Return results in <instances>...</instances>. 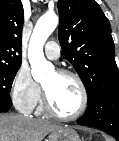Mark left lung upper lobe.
I'll list each match as a JSON object with an SVG mask.
<instances>
[{
  "mask_svg": "<svg viewBox=\"0 0 119 141\" xmlns=\"http://www.w3.org/2000/svg\"><path fill=\"white\" fill-rule=\"evenodd\" d=\"M58 11V39L87 90L88 101L119 89L110 23L97 2L59 0Z\"/></svg>",
  "mask_w": 119,
  "mask_h": 141,
  "instance_id": "1",
  "label": "left lung upper lobe"
}]
</instances>
